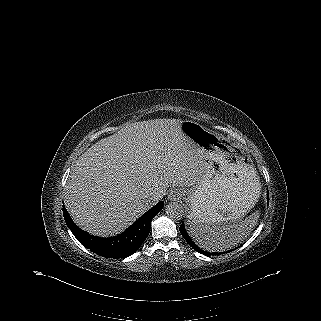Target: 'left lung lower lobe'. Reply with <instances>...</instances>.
I'll return each mask as SVG.
<instances>
[{"instance_id":"0a47b994","label":"left lung lower lobe","mask_w":321,"mask_h":321,"mask_svg":"<svg viewBox=\"0 0 321 321\" xmlns=\"http://www.w3.org/2000/svg\"><path fill=\"white\" fill-rule=\"evenodd\" d=\"M267 200H269V197H267ZM180 233L182 234V236L184 237V239L187 241V243L196 251H198L201 254H206V255H218L221 253H210V252H205L202 251L192 240L191 238L188 236L185 228H184V223L181 224L180 226Z\"/></svg>"}]
</instances>
